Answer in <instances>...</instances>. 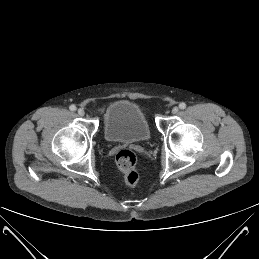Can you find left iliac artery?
Segmentation results:
<instances>
[{
  "label": "left iliac artery",
  "instance_id": "left-iliac-artery-1",
  "mask_svg": "<svg viewBox=\"0 0 259 259\" xmlns=\"http://www.w3.org/2000/svg\"><path fill=\"white\" fill-rule=\"evenodd\" d=\"M179 108H180V109H185V108H186V104H185L184 102H181V103L179 104Z\"/></svg>",
  "mask_w": 259,
  "mask_h": 259
}]
</instances>
